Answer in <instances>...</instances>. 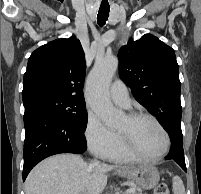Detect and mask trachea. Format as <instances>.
I'll return each mask as SVG.
<instances>
[{
  "label": "trachea",
  "mask_w": 201,
  "mask_h": 194,
  "mask_svg": "<svg viewBox=\"0 0 201 194\" xmlns=\"http://www.w3.org/2000/svg\"><path fill=\"white\" fill-rule=\"evenodd\" d=\"M109 12H110V6L108 2H102L97 17V22L100 26L105 25L109 17Z\"/></svg>",
  "instance_id": "3493384b"
}]
</instances>
